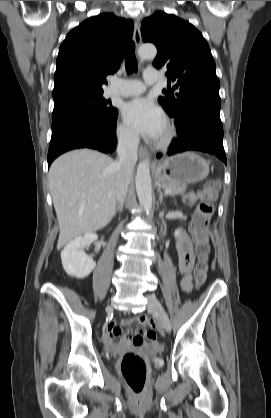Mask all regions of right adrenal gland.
Here are the masks:
<instances>
[{
  "label": "right adrenal gland",
  "mask_w": 271,
  "mask_h": 418,
  "mask_svg": "<svg viewBox=\"0 0 271 418\" xmlns=\"http://www.w3.org/2000/svg\"><path fill=\"white\" fill-rule=\"evenodd\" d=\"M122 210H123V203H120L117 205L114 214H116L118 211L121 212Z\"/></svg>",
  "instance_id": "right-adrenal-gland-1"
}]
</instances>
